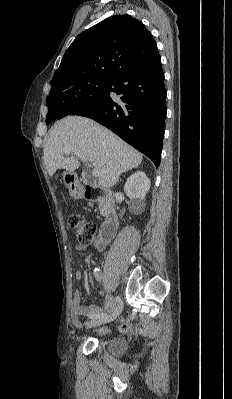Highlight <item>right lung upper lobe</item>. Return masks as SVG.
Masks as SVG:
<instances>
[{
  "label": "right lung upper lobe",
  "mask_w": 232,
  "mask_h": 399,
  "mask_svg": "<svg viewBox=\"0 0 232 399\" xmlns=\"http://www.w3.org/2000/svg\"><path fill=\"white\" fill-rule=\"evenodd\" d=\"M157 51L144 24L130 15H113L79 34L66 50L49 95L83 82L110 79Z\"/></svg>",
  "instance_id": "obj_1"
}]
</instances>
